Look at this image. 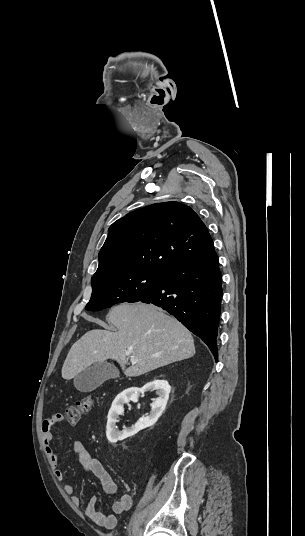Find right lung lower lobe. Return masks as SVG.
<instances>
[{"label":"right lung lower lobe","mask_w":305,"mask_h":536,"mask_svg":"<svg viewBox=\"0 0 305 536\" xmlns=\"http://www.w3.org/2000/svg\"><path fill=\"white\" fill-rule=\"evenodd\" d=\"M222 296L219 259L213 249L168 270L162 283L138 301L162 307L175 316L208 345L217 360L216 337Z\"/></svg>","instance_id":"98d812e1"}]
</instances>
